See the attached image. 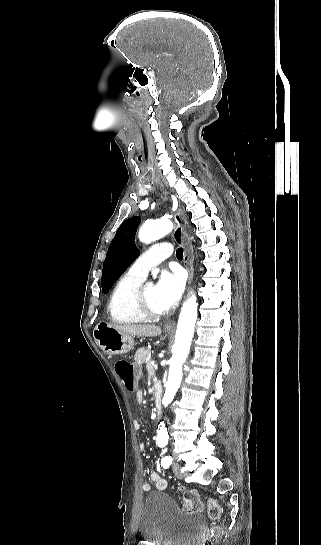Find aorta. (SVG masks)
Segmentation results:
<instances>
[{"mask_svg": "<svg viewBox=\"0 0 321 545\" xmlns=\"http://www.w3.org/2000/svg\"><path fill=\"white\" fill-rule=\"evenodd\" d=\"M172 229L173 224L168 219L145 222L139 230V239L143 243L153 242L167 235ZM196 300V296L192 294L183 304L179 315L175 344L172 348L173 355L170 359L169 376L163 396L165 407L174 399L182 380V366L190 350L197 319L198 305ZM168 439L167 428L164 422H161L158 427L157 443L166 445Z\"/></svg>", "mask_w": 321, "mask_h": 545, "instance_id": "762f6f07", "label": "aorta"}]
</instances>
